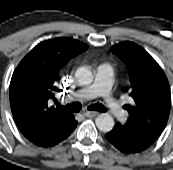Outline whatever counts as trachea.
Instances as JSON below:
<instances>
[{
    "mask_svg": "<svg viewBox=\"0 0 173 170\" xmlns=\"http://www.w3.org/2000/svg\"><path fill=\"white\" fill-rule=\"evenodd\" d=\"M58 107L60 109L67 111V112H79L81 110V104L80 103L68 104L66 106L59 105ZM88 110L102 111V112L107 111L105 106L102 104H99V103L88 106Z\"/></svg>",
    "mask_w": 173,
    "mask_h": 170,
    "instance_id": "1",
    "label": "trachea"
}]
</instances>
